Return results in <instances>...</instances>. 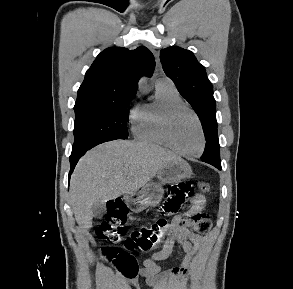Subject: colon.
Masks as SVG:
<instances>
[{"mask_svg": "<svg viewBox=\"0 0 293 289\" xmlns=\"http://www.w3.org/2000/svg\"><path fill=\"white\" fill-rule=\"evenodd\" d=\"M199 189L207 193L209 185L201 182L198 184ZM193 190L188 182L173 184L169 186L167 200L162 205L160 212L163 215H169L178 211L184 204L185 198ZM204 216L205 214L202 213ZM206 216V215H205ZM126 217V207L121 202L112 203L107 211L106 216L96 226V235L107 242H118L123 234V224ZM190 224L191 221H185ZM167 222L163 218L154 220L147 225L142 226L139 230L134 231L124 240L125 251H118L112 248H105L103 254L108 258H114L124 274L132 278L137 274L138 268L130 251L141 252L148 251L161 241L164 237ZM201 228L200 224L196 225Z\"/></svg>", "mask_w": 293, "mask_h": 289, "instance_id": "1", "label": "colon"}]
</instances>
